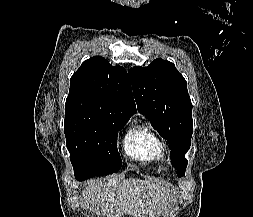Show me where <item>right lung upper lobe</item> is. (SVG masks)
I'll return each mask as SVG.
<instances>
[{
    "mask_svg": "<svg viewBox=\"0 0 253 217\" xmlns=\"http://www.w3.org/2000/svg\"><path fill=\"white\" fill-rule=\"evenodd\" d=\"M136 112L129 74L101 56L84 61L70 79L65 114L128 120Z\"/></svg>",
    "mask_w": 253,
    "mask_h": 217,
    "instance_id": "obj_1",
    "label": "right lung upper lobe"
}]
</instances>
